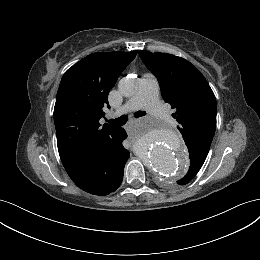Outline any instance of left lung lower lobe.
<instances>
[{
    "label": "left lung lower lobe",
    "mask_w": 260,
    "mask_h": 260,
    "mask_svg": "<svg viewBox=\"0 0 260 260\" xmlns=\"http://www.w3.org/2000/svg\"><path fill=\"white\" fill-rule=\"evenodd\" d=\"M190 166L187 174L180 180L177 181L179 185H185L190 182L195 175L199 172L200 168L202 167L204 161L200 158L197 154H190Z\"/></svg>",
    "instance_id": "0a47b994"
}]
</instances>
